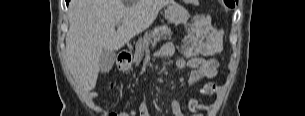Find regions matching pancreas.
Masks as SVG:
<instances>
[{
	"instance_id": "cf45deb5",
	"label": "pancreas",
	"mask_w": 305,
	"mask_h": 116,
	"mask_svg": "<svg viewBox=\"0 0 305 116\" xmlns=\"http://www.w3.org/2000/svg\"><path fill=\"white\" fill-rule=\"evenodd\" d=\"M172 33L167 25L155 27L151 32L146 33L143 39H140L135 47L134 62L136 65L140 63L144 53L148 50L149 44L161 39H171Z\"/></svg>"
}]
</instances>
